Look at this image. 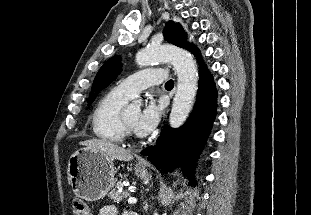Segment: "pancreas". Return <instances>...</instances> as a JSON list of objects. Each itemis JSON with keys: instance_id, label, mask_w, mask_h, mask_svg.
Returning <instances> with one entry per match:
<instances>
[{"instance_id": "pancreas-1", "label": "pancreas", "mask_w": 311, "mask_h": 215, "mask_svg": "<svg viewBox=\"0 0 311 215\" xmlns=\"http://www.w3.org/2000/svg\"><path fill=\"white\" fill-rule=\"evenodd\" d=\"M123 188V184L122 183H118L116 185V188H114L110 193H109V197L116 203H119L120 201L123 200V198L128 195V193L126 192H120L119 189Z\"/></svg>"}]
</instances>
